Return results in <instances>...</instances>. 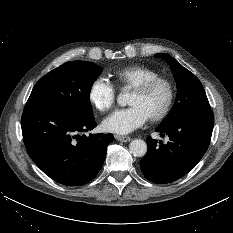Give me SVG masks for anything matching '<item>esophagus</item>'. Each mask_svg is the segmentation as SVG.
Listing matches in <instances>:
<instances>
[{"mask_svg":"<svg viewBox=\"0 0 233 233\" xmlns=\"http://www.w3.org/2000/svg\"><path fill=\"white\" fill-rule=\"evenodd\" d=\"M115 138L118 140V141H121V142H129L131 140V138L129 136H120V135H116Z\"/></svg>","mask_w":233,"mask_h":233,"instance_id":"obj_1","label":"esophagus"}]
</instances>
